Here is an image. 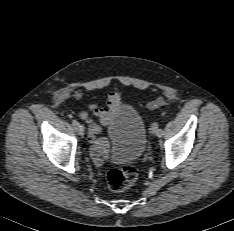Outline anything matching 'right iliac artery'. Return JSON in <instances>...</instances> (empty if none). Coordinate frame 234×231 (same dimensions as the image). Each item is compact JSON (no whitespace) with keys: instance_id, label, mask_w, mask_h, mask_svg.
I'll return each instance as SVG.
<instances>
[{"instance_id":"right-iliac-artery-1","label":"right iliac artery","mask_w":234,"mask_h":231,"mask_svg":"<svg viewBox=\"0 0 234 231\" xmlns=\"http://www.w3.org/2000/svg\"><path fill=\"white\" fill-rule=\"evenodd\" d=\"M72 125H73V127H74L76 130H78L79 127H80V124H79L78 121H76V120H72Z\"/></svg>"}]
</instances>
